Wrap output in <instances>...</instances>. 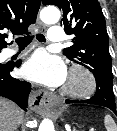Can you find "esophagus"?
Masks as SVG:
<instances>
[{
    "instance_id": "esophagus-1",
    "label": "esophagus",
    "mask_w": 117,
    "mask_h": 131,
    "mask_svg": "<svg viewBox=\"0 0 117 131\" xmlns=\"http://www.w3.org/2000/svg\"><path fill=\"white\" fill-rule=\"evenodd\" d=\"M37 25L40 31H45L46 26L38 18ZM53 96L47 91L38 90L33 92L30 97L29 104L32 110L39 114H47L52 108Z\"/></svg>"
}]
</instances>
